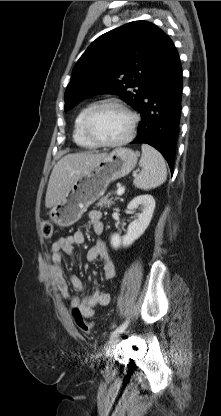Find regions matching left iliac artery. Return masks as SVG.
Listing matches in <instances>:
<instances>
[{
	"mask_svg": "<svg viewBox=\"0 0 221 416\" xmlns=\"http://www.w3.org/2000/svg\"><path fill=\"white\" fill-rule=\"evenodd\" d=\"M128 320H126L122 325H120L118 328H116L112 333H111V337L112 336H117L118 334L122 333L126 327L128 326Z\"/></svg>",
	"mask_w": 221,
	"mask_h": 416,
	"instance_id": "1",
	"label": "left iliac artery"
}]
</instances>
